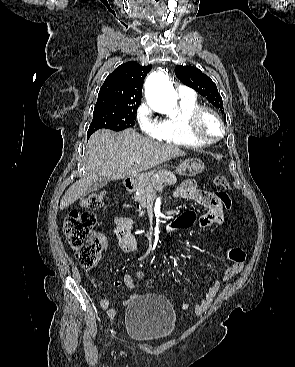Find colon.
I'll return each instance as SVG.
<instances>
[{"label": "colon", "instance_id": "colon-1", "mask_svg": "<svg viewBox=\"0 0 295 367\" xmlns=\"http://www.w3.org/2000/svg\"><path fill=\"white\" fill-rule=\"evenodd\" d=\"M214 183L220 188L212 190L213 196H218L223 200L222 204H230L228 191L230 185L223 175L215 177ZM82 206L87 208H99L103 205V194L100 192L91 193L81 200ZM194 221L192 212L182 214L177 221L171 219L169 223L162 225L163 232L160 236V244L165 246L171 238V230L185 231ZM96 225V218L90 212H80L72 210L64 221V234L74 250L76 258L84 269H92L96 266L102 250V242L93 230ZM230 260L237 265L244 264L246 253L242 248L234 247L228 252Z\"/></svg>", "mask_w": 295, "mask_h": 367}]
</instances>
